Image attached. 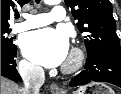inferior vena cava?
<instances>
[{"instance_id": "obj_1", "label": "inferior vena cava", "mask_w": 121, "mask_h": 94, "mask_svg": "<svg viewBox=\"0 0 121 94\" xmlns=\"http://www.w3.org/2000/svg\"><path fill=\"white\" fill-rule=\"evenodd\" d=\"M19 73L24 82V87L21 89L22 94H39L45 81L43 68L23 62L19 65Z\"/></svg>"}]
</instances>
